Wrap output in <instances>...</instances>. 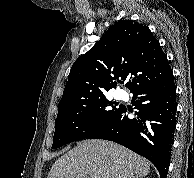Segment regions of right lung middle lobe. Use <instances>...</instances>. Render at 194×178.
I'll return each instance as SVG.
<instances>
[{
    "label": "right lung middle lobe",
    "instance_id": "dd1d6c3e",
    "mask_svg": "<svg viewBox=\"0 0 194 178\" xmlns=\"http://www.w3.org/2000/svg\"><path fill=\"white\" fill-rule=\"evenodd\" d=\"M113 103L104 96L77 107L58 112L52 148L87 138L92 132L116 114L121 107L110 109Z\"/></svg>",
    "mask_w": 194,
    "mask_h": 178
}]
</instances>
